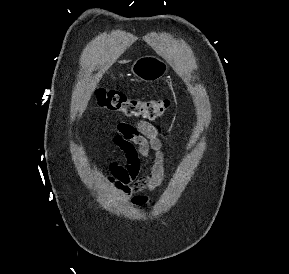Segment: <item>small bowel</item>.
I'll return each mask as SVG.
<instances>
[{"instance_id": "1", "label": "small bowel", "mask_w": 289, "mask_h": 274, "mask_svg": "<svg viewBox=\"0 0 289 274\" xmlns=\"http://www.w3.org/2000/svg\"><path fill=\"white\" fill-rule=\"evenodd\" d=\"M112 141L123 153L125 164L115 160L109 163L108 184L134 207L150 204L144 192L152 193L165 183L172 160L164 152V146H169L168 136L159 126L139 120L135 124L119 123ZM142 159L151 162L149 171L143 175L140 174Z\"/></svg>"}]
</instances>
